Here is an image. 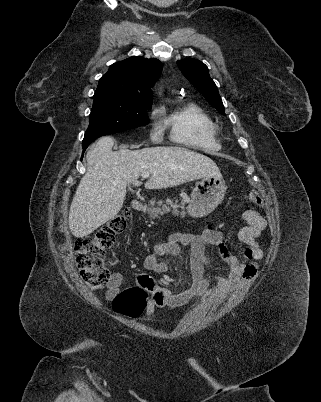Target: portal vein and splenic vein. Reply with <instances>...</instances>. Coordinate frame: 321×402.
I'll use <instances>...</instances> for the list:
<instances>
[{
    "mask_svg": "<svg viewBox=\"0 0 321 402\" xmlns=\"http://www.w3.org/2000/svg\"><path fill=\"white\" fill-rule=\"evenodd\" d=\"M141 176H142V178L146 179V178L149 177V173L148 172H143Z\"/></svg>",
    "mask_w": 321,
    "mask_h": 402,
    "instance_id": "portal-vein-and-splenic-vein-1",
    "label": "portal vein and splenic vein"
}]
</instances>
